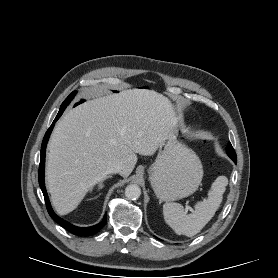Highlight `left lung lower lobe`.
<instances>
[{
	"mask_svg": "<svg viewBox=\"0 0 278 278\" xmlns=\"http://www.w3.org/2000/svg\"><path fill=\"white\" fill-rule=\"evenodd\" d=\"M235 163H237V159L233 160Z\"/></svg>",
	"mask_w": 278,
	"mask_h": 278,
	"instance_id": "left-lung-lower-lobe-1",
	"label": "left lung lower lobe"
}]
</instances>
